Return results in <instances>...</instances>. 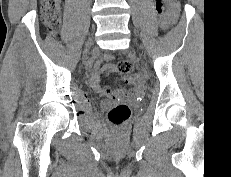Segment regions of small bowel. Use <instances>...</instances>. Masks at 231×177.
Masks as SVG:
<instances>
[{
	"mask_svg": "<svg viewBox=\"0 0 231 177\" xmlns=\"http://www.w3.org/2000/svg\"><path fill=\"white\" fill-rule=\"evenodd\" d=\"M169 23L170 22L167 20V16L162 18L161 24L163 27L167 28L169 26ZM112 59H113L112 55H110V54L105 55V60L110 61ZM113 71H117V66L114 64L109 63V64H106L104 66L97 65L94 68L92 75H91V78H90V83H91L92 87L94 88V90H96L97 92H99L103 95L115 94L114 90H112L109 87H103L100 84L101 77L103 75H105L106 73L113 72ZM123 80L129 84H135V85L138 84V79H136V78L131 79V78L124 77ZM138 89H139V86H138Z\"/></svg>",
	"mask_w": 231,
	"mask_h": 177,
	"instance_id": "c3829d8e",
	"label": "small bowel"
}]
</instances>
